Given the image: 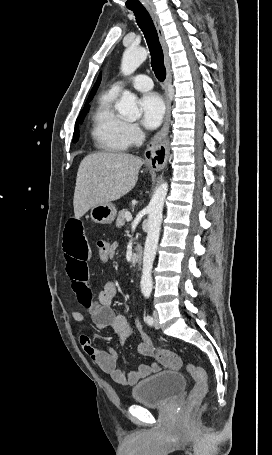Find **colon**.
I'll use <instances>...</instances> for the list:
<instances>
[{
  "instance_id": "5ec220e1",
  "label": "colon",
  "mask_w": 272,
  "mask_h": 455,
  "mask_svg": "<svg viewBox=\"0 0 272 455\" xmlns=\"http://www.w3.org/2000/svg\"><path fill=\"white\" fill-rule=\"evenodd\" d=\"M109 245L110 243L106 239H100L97 242L99 261L103 265L111 258ZM157 358L165 367L172 370H179L182 366L181 358L167 349H160L157 352ZM187 371L195 381L187 402V411L192 412L207 393V373L202 367L194 364H188Z\"/></svg>"
}]
</instances>
